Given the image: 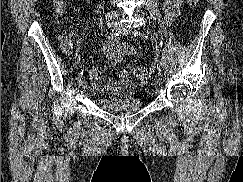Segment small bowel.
I'll use <instances>...</instances> for the list:
<instances>
[{"label": "small bowel", "instance_id": "c3829d8e", "mask_svg": "<svg viewBox=\"0 0 243 182\" xmlns=\"http://www.w3.org/2000/svg\"><path fill=\"white\" fill-rule=\"evenodd\" d=\"M182 0H165L164 1V16L165 21L170 24L178 16ZM103 54L110 66L118 65L126 56L133 54L134 48L127 44L121 43L119 40L108 41L103 46ZM89 78L92 87L102 93H109L115 96L121 95L124 91H129L133 88V83L130 80L129 72L122 69L118 74L117 81H105L101 71L96 67L89 69Z\"/></svg>", "mask_w": 243, "mask_h": 182}]
</instances>
